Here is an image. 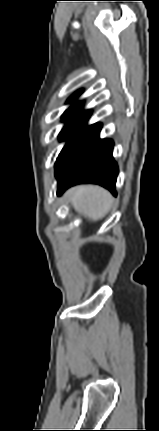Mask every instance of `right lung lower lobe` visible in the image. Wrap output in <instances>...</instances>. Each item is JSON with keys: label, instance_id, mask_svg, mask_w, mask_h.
Listing matches in <instances>:
<instances>
[{"label": "right lung lower lobe", "instance_id": "1", "mask_svg": "<svg viewBox=\"0 0 159 431\" xmlns=\"http://www.w3.org/2000/svg\"><path fill=\"white\" fill-rule=\"evenodd\" d=\"M101 127V123L84 126L68 139L55 164L59 195L79 183L99 184L116 195L114 143L99 138Z\"/></svg>", "mask_w": 159, "mask_h": 431}]
</instances>
